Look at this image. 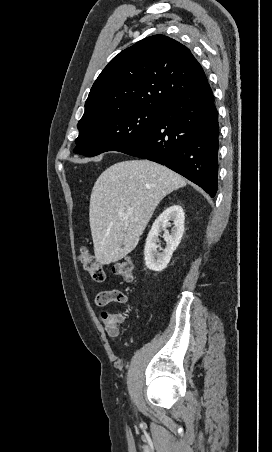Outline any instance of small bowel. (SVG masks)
Segmentation results:
<instances>
[{
	"mask_svg": "<svg viewBox=\"0 0 272 452\" xmlns=\"http://www.w3.org/2000/svg\"><path fill=\"white\" fill-rule=\"evenodd\" d=\"M95 302L98 306H105L112 302L124 306L128 302V296L117 289L105 290L97 294ZM99 318L104 324L109 336H118L125 321V315L123 313L102 312Z\"/></svg>",
	"mask_w": 272,
	"mask_h": 452,
	"instance_id": "small-bowel-1",
	"label": "small bowel"
}]
</instances>
